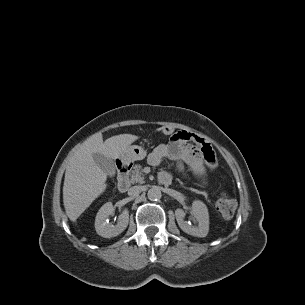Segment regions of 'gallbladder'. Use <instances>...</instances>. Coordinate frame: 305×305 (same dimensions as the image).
Segmentation results:
<instances>
[{
  "label": "gallbladder",
  "instance_id": "gallbladder-1",
  "mask_svg": "<svg viewBox=\"0 0 305 305\" xmlns=\"http://www.w3.org/2000/svg\"><path fill=\"white\" fill-rule=\"evenodd\" d=\"M94 162L107 174L113 176L115 174V165L113 159L100 153L93 154Z\"/></svg>",
  "mask_w": 305,
  "mask_h": 305
}]
</instances>
